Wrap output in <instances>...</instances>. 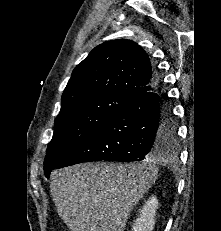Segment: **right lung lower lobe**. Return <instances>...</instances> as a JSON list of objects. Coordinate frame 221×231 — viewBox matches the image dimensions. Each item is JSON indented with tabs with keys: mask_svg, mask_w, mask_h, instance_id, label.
<instances>
[{
	"mask_svg": "<svg viewBox=\"0 0 221 231\" xmlns=\"http://www.w3.org/2000/svg\"><path fill=\"white\" fill-rule=\"evenodd\" d=\"M155 88L129 100L57 168L90 161H141L171 149L175 131L168 97L155 70ZM49 178L50 173L45 174Z\"/></svg>",
	"mask_w": 221,
	"mask_h": 231,
	"instance_id": "right-lung-lower-lobe-1",
	"label": "right lung lower lobe"
}]
</instances>
